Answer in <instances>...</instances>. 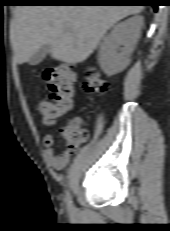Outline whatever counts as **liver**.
I'll use <instances>...</instances> for the list:
<instances>
[{"mask_svg": "<svg viewBox=\"0 0 170 231\" xmlns=\"http://www.w3.org/2000/svg\"><path fill=\"white\" fill-rule=\"evenodd\" d=\"M143 9L140 5L18 6L11 27L16 60L28 62L40 47L49 44L53 59L83 62L107 30Z\"/></svg>", "mask_w": 170, "mask_h": 231, "instance_id": "1", "label": "liver"}]
</instances>
